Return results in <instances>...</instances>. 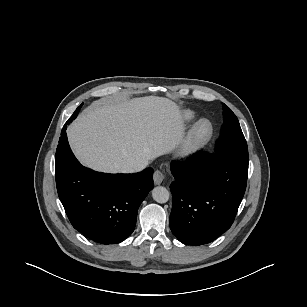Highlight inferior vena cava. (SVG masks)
I'll use <instances>...</instances> for the list:
<instances>
[{
    "label": "inferior vena cava",
    "mask_w": 307,
    "mask_h": 307,
    "mask_svg": "<svg viewBox=\"0 0 307 307\" xmlns=\"http://www.w3.org/2000/svg\"><path fill=\"white\" fill-rule=\"evenodd\" d=\"M146 163H140V164H133V165H128L125 166L122 169L123 173H134V172H139L141 170H143L146 167Z\"/></svg>",
    "instance_id": "obj_1"
}]
</instances>
